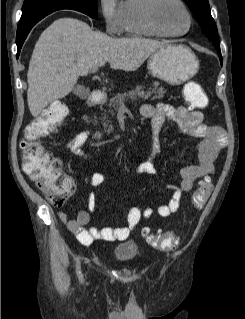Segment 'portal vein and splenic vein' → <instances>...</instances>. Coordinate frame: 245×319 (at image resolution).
Returning <instances> with one entry per match:
<instances>
[{
  "mask_svg": "<svg viewBox=\"0 0 245 319\" xmlns=\"http://www.w3.org/2000/svg\"><path fill=\"white\" fill-rule=\"evenodd\" d=\"M97 70H98V68H94V69L91 70V72L94 73V72H96ZM150 94H151L150 92L147 93L144 98L147 99V98L150 96ZM121 105L124 106V103L122 102Z\"/></svg>",
  "mask_w": 245,
  "mask_h": 319,
  "instance_id": "18ae733b",
  "label": "portal vein and splenic vein"
}]
</instances>
